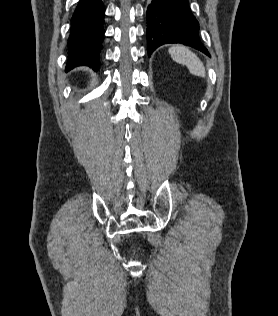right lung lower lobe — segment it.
I'll return each instance as SVG.
<instances>
[{
	"mask_svg": "<svg viewBox=\"0 0 278 316\" xmlns=\"http://www.w3.org/2000/svg\"><path fill=\"white\" fill-rule=\"evenodd\" d=\"M101 0H80L71 19L66 71L86 65L97 71L104 36Z\"/></svg>",
	"mask_w": 278,
	"mask_h": 316,
	"instance_id": "obj_1",
	"label": "right lung lower lobe"
}]
</instances>
